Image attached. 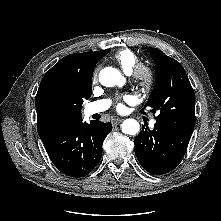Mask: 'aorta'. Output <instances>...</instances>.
Wrapping results in <instances>:
<instances>
[{"instance_id":"1","label":"aorta","mask_w":221,"mask_h":221,"mask_svg":"<svg viewBox=\"0 0 221 221\" xmlns=\"http://www.w3.org/2000/svg\"><path fill=\"white\" fill-rule=\"evenodd\" d=\"M99 81L103 86L113 87L123 85L124 78L116 68L105 67L99 73ZM139 129L140 125L135 119H126L121 125L122 132L128 135H136Z\"/></svg>"}]
</instances>
